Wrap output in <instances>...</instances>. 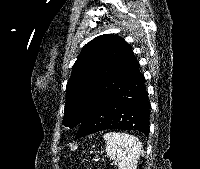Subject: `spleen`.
I'll use <instances>...</instances> for the list:
<instances>
[{"mask_svg":"<svg viewBox=\"0 0 200 169\" xmlns=\"http://www.w3.org/2000/svg\"><path fill=\"white\" fill-rule=\"evenodd\" d=\"M107 156L115 160L119 169H136L142 152V144L133 135L109 132L103 136Z\"/></svg>","mask_w":200,"mask_h":169,"instance_id":"1","label":"spleen"}]
</instances>
